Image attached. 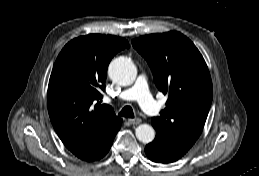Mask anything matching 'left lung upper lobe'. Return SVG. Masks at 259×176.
I'll return each mask as SVG.
<instances>
[{"label":"left lung upper lobe","mask_w":259,"mask_h":176,"mask_svg":"<svg viewBox=\"0 0 259 176\" xmlns=\"http://www.w3.org/2000/svg\"><path fill=\"white\" fill-rule=\"evenodd\" d=\"M132 44L148 62L157 88L168 94L166 108L151 122L156 136L191 148L203 130L213 97L201 53L177 31L141 36Z\"/></svg>","instance_id":"1"}]
</instances>
